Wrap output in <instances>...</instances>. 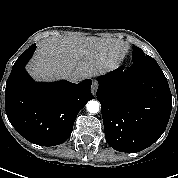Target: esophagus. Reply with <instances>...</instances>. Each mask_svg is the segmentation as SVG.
<instances>
[{
  "label": "esophagus",
  "instance_id": "1",
  "mask_svg": "<svg viewBox=\"0 0 178 178\" xmlns=\"http://www.w3.org/2000/svg\"><path fill=\"white\" fill-rule=\"evenodd\" d=\"M98 89V83L97 82H93L92 86H91V92L93 95L96 94V91Z\"/></svg>",
  "mask_w": 178,
  "mask_h": 178
}]
</instances>
